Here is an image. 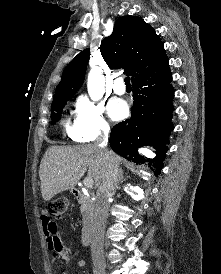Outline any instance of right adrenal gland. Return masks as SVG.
<instances>
[{
    "mask_svg": "<svg viewBox=\"0 0 221 274\" xmlns=\"http://www.w3.org/2000/svg\"><path fill=\"white\" fill-rule=\"evenodd\" d=\"M122 178H123V170L120 169V171H119V180H121Z\"/></svg>",
    "mask_w": 221,
    "mask_h": 274,
    "instance_id": "1",
    "label": "right adrenal gland"
}]
</instances>
